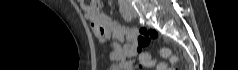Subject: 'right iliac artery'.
I'll use <instances>...</instances> for the list:
<instances>
[{"mask_svg":"<svg viewBox=\"0 0 238 70\" xmlns=\"http://www.w3.org/2000/svg\"><path fill=\"white\" fill-rule=\"evenodd\" d=\"M119 10H120V13L122 15V17L130 22L131 21V15L127 9V7L125 6L124 2L122 0L119 1Z\"/></svg>","mask_w":238,"mask_h":70,"instance_id":"82829eb1","label":"right iliac artery"}]
</instances>
